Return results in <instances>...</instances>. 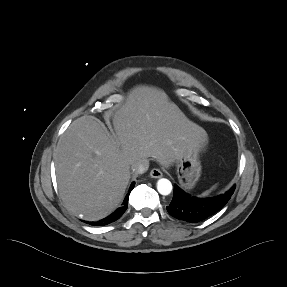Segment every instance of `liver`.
Masks as SVG:
<instances>
[{
    "label": "liver",
    "instance_id": "6515ba94",
    "mask_svg": "<svg viewBox=\"0 0 287 287\" xmlns=\"http://www.w3.org/2000/svg\"><path fill=\"white\" fill-rule=\"evenodd\" d=\"M115 133L93 116L71 123L58 141L54 162L59 194L76 216L96 221L123 199L133 164L152 157L169 166L206 131L189 121L162 91L138 86L113 114Z\"/></svg>",
    "mask_w": 287,
    "mask_h": 287
}]
</instances>
